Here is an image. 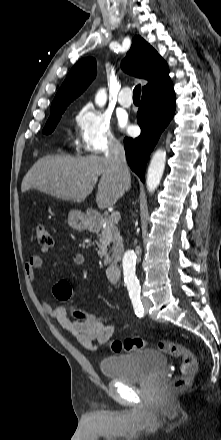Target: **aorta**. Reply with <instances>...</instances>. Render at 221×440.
Wrapping results in <instances>:
<instances>
[{"label":"aorta","mask_w":221,"mask_h":440,"mask_svg":"<svg viewBox=\"0 0 221 440\" xmlns=\"http://www.w3.org/2000/svg\"><path fill=\"white\" fill-rule=\"evenodd\" d=\"M107 100L105 89L98 91L95 102L98 106H104ZM166 162V152L158 149L151 159L147 172V188L153 192L159 185ZM136 254L132 250L125 252L123 257V274L125 284L130 292L139 291L140 285L135 274Z\"/></svg>","instance_id":"obj_1"}]
</instances>
